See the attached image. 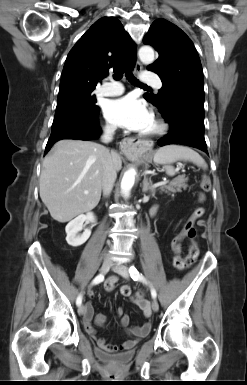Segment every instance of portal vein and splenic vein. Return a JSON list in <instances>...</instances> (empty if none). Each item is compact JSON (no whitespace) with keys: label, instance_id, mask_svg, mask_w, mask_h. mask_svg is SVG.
<instances>
[{"label":"portal vein and splenic vein","instance_id":"obj_1","mask_svg":"<svg viewBox=\"0 0 247 385\" xmlns=\"http://www.w3.org/2000/svg\"><path fill=\"white\" fill-rule=\"evenodd\" d=\"M180 169H181V165H177L176 170L179 171ZM165 183H166L165 181H160V182H157L156 184H154L153 187L156 188V187L164 185ZM84 193L88 194V191H85Z\"/></svg>","mask_w":247,"mask_h":385}]
</instances>
